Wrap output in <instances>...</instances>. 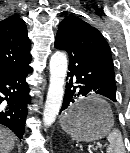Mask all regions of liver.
Segmentation results:
<instances>
[{"label": "liver", "mask_w": 130, "mask_h": 153, "mask_svg": "<svg viewBox=\"0 0 130 153\" xmlns=\"http://www.w3.org/2000/svg\"><path fill=\"white\" fill-rule=\"evenodd\" d=\"M15 145V135L8 129L0 127V153H9Z\"/></svg>", "instance_id": "6515ba94"}]
</instances>
